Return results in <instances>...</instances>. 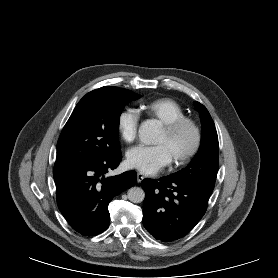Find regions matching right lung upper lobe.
Wrapping results in <instances>:
<instances>
[{
	"label": "right lung upper lobe",
	"mask_w": 278,
	"mask_h": 278,
	"mask_svg": "<svg viewBox=\"0 0 278 278\" xmlns=\"http://www.w3.org/2000/svg\"><path fill=\"white\" fill-rule=\"evenodd\" d=\"M100 89H102V90H118V91L125 90V89L117 88V87H113V86H104V87H102Z\"/></svg>",
	"instance_id": "right-lung-upper-lobe-1"
}]
</instances>
